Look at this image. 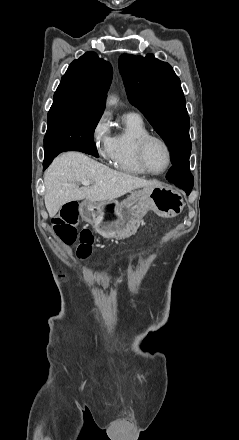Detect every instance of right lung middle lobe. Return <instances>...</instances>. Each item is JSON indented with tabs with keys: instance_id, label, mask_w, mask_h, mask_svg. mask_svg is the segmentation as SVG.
<instances>
[{
	"instance_id": "1",
	"label": "right lung middle lobe",
	"mask_w": 239,
	"mask_h": 440,
	"mask_svg": "<svg viewBox=\"0 0 239 440\" xmlns=\"http://www.w3.org/2000/svg\"><path fill=\"white\" fill-rule=\"evenodd\" d=\"M101 113L80 112L65 107H51L44 137L45 155L73 144L94 145V129Z\"/></svg>"
}]
</instances>
